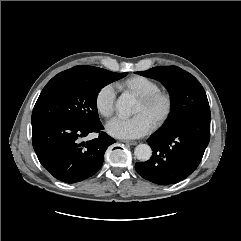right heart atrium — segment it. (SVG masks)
<instances>
[{"label":"right heart atrium","instance_id":"obj_1","mask_svg":"<svg viewBox=\"0 0 241 241\" xmlns=\"http://www.w3.org/2000/svg\"><path fill=\"white\" fill-rule=\"evenodd\" d=\"M116 92L112 85L103 86L95 97V106L100 115L110 118L115 109Z\"/></svg>","mask_w":241,"mask_h":241}]
</instances>
